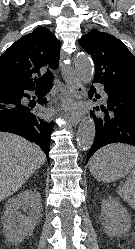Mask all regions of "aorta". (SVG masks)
<instances>
[{"label":"aorta","mask_w":135,"mask_h":249,"mask_svg":"<svg viewBox=\"0 0 135 249\" xmlns=\"http://www.w3.org/2000/svg\"><path fill=\"white\" fill-rule=\"evenodd\" d=\"M75 67L81 80L88 83L93 80L94 66L91 58L87 54L79 53L75 58ZM95 123L86 116L81 120L77 133V145L82 151L88 150L95 138Z\"/></svg>","instance_id":"1"}]
</instances>
